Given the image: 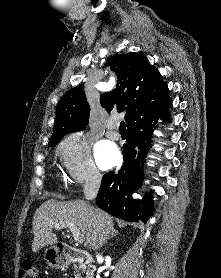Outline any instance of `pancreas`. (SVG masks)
Listing matches in <instances>:
<instances>
[{
    "label": "pancreas",
    "instance_id": "obj_1",
    "mask_svg": "<svg viewBox=\"0 0 221 278\" xmlns=\"http://www.w3.org/2000/svg\"><path fill=\"white\" fill-rule=\"evenodd\" d=\"M74 269H75V272H74L75 278H82V276L79 273V270L77 269V267H75Z\"/></svg>",
    "mask_w": 221,
    "mask_h": 278
}]
</instances>
